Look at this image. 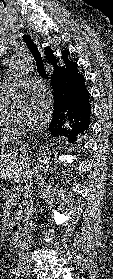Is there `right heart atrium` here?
<instances>
[{"instance_id": "obj_1", "label": "right heart atrium", "mask_w": 113, "mask_h": 279, "mask_svg": "<svg viewBox=\"0 0 113 279\" xmlns=\"http://www.w3.org/2000/svg\"><path fill=\"white\" fill-rule=\"evenodd\" d=\"M23 131H24V129L21 125L15 126V134H21Z\"/></svg>"}]
</instances>
